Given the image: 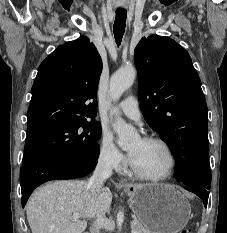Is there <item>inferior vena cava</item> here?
Here are the masks:
<instances>
[{
  "instance_id": "602c4592",
  "label": "inferior vena cava",
  "mask_w": 227,
  "mask_h": 233,
  "mask_svg": "<svg viewBox=\"0 0 227 233\" xmlns=\"http://www.w3.org/2000/svg\"><path fill=\"white\" fill-rule=\"evenodd\" d=\"M112 174V160L110 156L100 157L93 175L89 179L88 188L97 193L103 186L104 181ZM104 218V217H103ZM103 218L97 219L91 233H99L100 223Z\"/></svg>"
}]
</instances>
